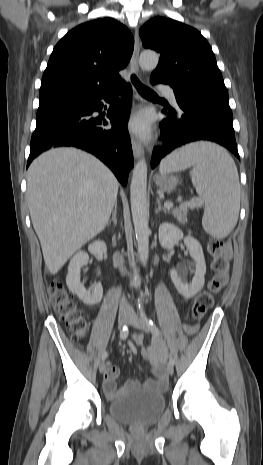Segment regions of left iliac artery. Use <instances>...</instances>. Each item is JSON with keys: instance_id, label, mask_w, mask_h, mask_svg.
Returning <instances> with one entry per match:
<instances>
[{"instance_id": "left-iliac-artery-1", "label": "left iliac artery", "mask_w": 263, "mask_h": 465, "mask_svg": "<svg viewBox=\"0 0 263 465\" xmlns=\"http://www.w3.org/2000/svg\"><path fill=\"white\" fill-rule=\"evenodd\" d=\"M139 309H140V316H141L143 322L145 323L148 331L151 332L152 335L158 336L160 334V331H159L158 327L155 325V323L151 319H149L146 316L142 305H139ZM169 363L172 364V365L175 364V361H174V359L172 357H170Z\"/></svg>"}]
</instances>
